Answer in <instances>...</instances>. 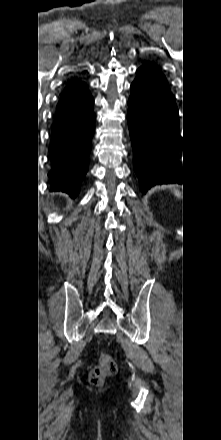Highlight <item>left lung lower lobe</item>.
<instances>
[{"label":"left lung lower lobe","mask_w":221,"mask_h":440,"mask_svg":"<svg viewBox=\"0 0 221 440\" xmlns=\"http://www.w3.org/2000/svg\"><path fill=\"white\" fill-rule=\"evenodd\" d=\"M128 107L134 169L142 193L154 185L184 182L176 157L182 146L178 108L156 64L147 62L137 70Z\"/></svg>","instance_id":"left-lung-lower-lobe-1"}]
</instances>
